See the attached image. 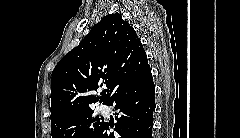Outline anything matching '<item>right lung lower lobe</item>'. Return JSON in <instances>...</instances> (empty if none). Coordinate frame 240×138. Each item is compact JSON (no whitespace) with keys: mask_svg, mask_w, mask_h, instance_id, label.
<instances>
[{"mask_svg":"<svg viewBox=\"0 0 240 138\" xmlns=\"http://www.w3.org/2000/svg\"><path fill=\"white\" fill-rule=\"evenodd\" d=\"M155 86L152 74L139 84L117 94L109 105H115L117 123L113 127L104 122L94 138H152Z\"/></svg>","mask_w":240,"mask_h":138,"instance_id":"right-lung-lower-lobe-1","label":"right lung lower lobe"}]
</instances>
